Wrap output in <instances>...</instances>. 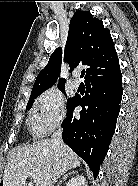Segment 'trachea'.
<instances>
[{
    "label": "trachea",
    "instance_id": "trachea-1",
    "mask_svg": "<svg viewBox=\"0 0 138 186\" xmlns=\"http://www.w3.org/2000/svg\"><path fill=\"white\" fill-rule=\"evenodd\" d=\"M84 75H85V71H82L80 77L82 78Z\"/></svg>",
    "mask_w": 138,
    "mask_h": 186
}]
</instances>
